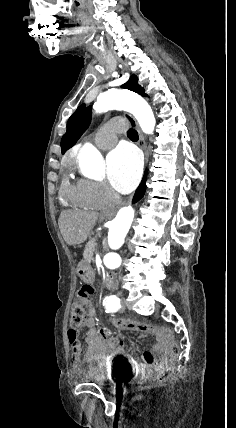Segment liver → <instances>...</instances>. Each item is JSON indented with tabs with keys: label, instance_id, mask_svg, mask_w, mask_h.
<instances>
[{
	"label": "liver",
	"instance_id": "obj_1",
	"mask_svg": "<svg viewBox=\"0 0 236 428\" xmlns=\"http://www.w3.org/2000/svg\"><path fill=\"white\" fill-rule=\"evenodd\" d=\"M98 216L96 212H62L58 224L65 242L69 246L83 244L92 232Z\"/></svg>",
	"mask_w": 236,
	"mask_h": 428
}]
</instances>
